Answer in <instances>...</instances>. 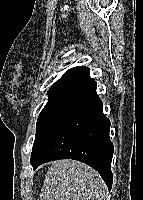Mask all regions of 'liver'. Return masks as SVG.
<instances>
[{
	"mask_svg": "<svg viewBox=\"0 0 143 200\" xmlns=\"http://www.w3.org/2000/svg\"><path fill=\"white\" fill-rule=\"evenodd\" d=\"M106 184L98 172L75 160L51 164L41 188L40 200H104Z\"/></svg>",
	"mask_w": 143,
	"mask_h": 200,
	"instance_id": "6515ba94",
	"label": "liver"
}]
</instances>
